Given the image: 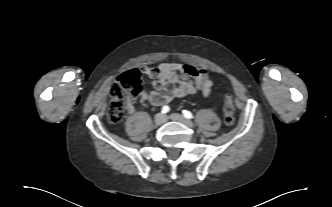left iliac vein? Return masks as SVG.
Segmentation results:
<instances>
[{
  "instance_id": "1",
  "label": "left iliac vein",
  "mask_w": 332,
  "mask_h": 207,
  "mask_svg": "<svg viewBox=\"0 0 332 207\" xmlns=\"http://www.w3.org/2000/svg\"><path fill=\"white\" fill-rule=\"evenodd\" d=\"M170 118H171L172 120L177 121V122H180V123H182V124H184V125H186V126H188V127H190V128H193V127H194V124H193L192 121H190V120L184 118V117H183L182 115H180V114L173 113V114L170 115Z\"/></svg>"
}]
</instances>
